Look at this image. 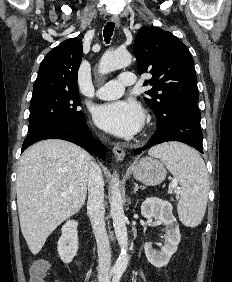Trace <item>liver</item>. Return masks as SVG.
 Wrapping results in <instances>:
<instances>
[{"label": "liver", "mask_w": 232, "mask_h": 282, "mask_svg": "<svg viewBox=\"0 0 232 282\" xmlns=\"http://www.w3.org/2000/svg\"><path fill=\"white\" fill-rule=\"evenodd\" d=\"M90 163L84 149L59 139L40 141L22 154L17 205L21 231L32 254H38L56 227L84 205Z\"/></svg>", "instance_id": "1"}]
</instances>
